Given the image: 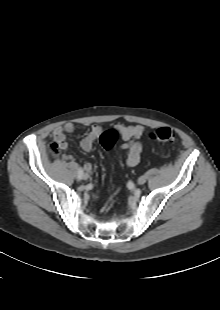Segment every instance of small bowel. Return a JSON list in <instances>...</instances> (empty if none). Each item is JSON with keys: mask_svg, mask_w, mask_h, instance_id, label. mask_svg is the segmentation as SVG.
Listing matches in <instances>:
<instances>
[{"mask_svg": "<svg viewBox=\"0 0 220 310\" xmlns=\"http://www.w3.org/2000/svg\"><path fill=\"white\" fill-rule=\"evenodd\" d=\"M122 139L125 141L120 145V150L125 152V163L129 167H134L140 162L143 145L140 138L144 134V128L141 125H116ZM74 131L72 123H66L63 126L56 128L52 133V139L59 143L62 150H66L68 142L66 135ZM103 132L101 125L95 124L91 127L88 134L81 140L80 147L85 152H90L93 149L95 142L99 139ZM67 157V156H66ZM86 173L92 172V165L86 163L84 165Z\"/></svg>", "mask_w": 220, "mask_h": 310, "instance_id": "small-bowel-1", "label": "small bowel"}]
</instances>
